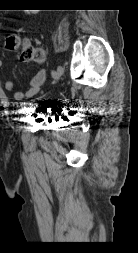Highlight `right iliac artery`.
Wrapping results in <instances>:
<instances>
[{
    "mask_svg": "<svg viewBox=\"0 0 138 253\" xmlns=\"http://www.w3.org/2000/svg\"><path fill=\"white\" fill-rule=\"evenodd\" d=\"M54 79H58L56 72L53 73Z\"/></svg>",
    "mask_w": 138,
    "mask_h": 253,
    "instance_id": "obj_1",
    "label": "right iliac artery"
}]
</instances>
